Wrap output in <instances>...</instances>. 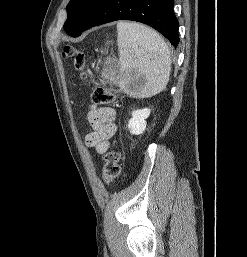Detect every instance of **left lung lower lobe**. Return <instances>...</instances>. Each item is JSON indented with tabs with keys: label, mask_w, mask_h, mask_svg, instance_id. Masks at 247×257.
<instances>
[{
	"label": "left lung lower lobe",
	"mask_w": 247,
	"mask_h": 257,
	"mask_svg": "<svg viewBox=\"0 0 247 257\" xmlns=\"http://www.w3.org/2000/svg\"><path fill=\"white\" fill-rule=\"evenodd\" d=\"M173 7L174 0H97L78 31L70 36L78 37L91 27L115 20H133L153 27L177 47L178 20Z\"/></svg>",
	"instance_id": "1"
}]
</instances>
